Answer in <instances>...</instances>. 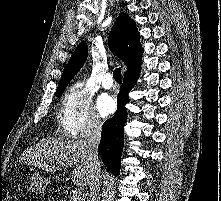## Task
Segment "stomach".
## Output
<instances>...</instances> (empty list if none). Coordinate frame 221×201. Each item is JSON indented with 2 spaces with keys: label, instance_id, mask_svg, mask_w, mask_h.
Returning <instances> with one entry per match:
<instances>
[{
  "label": "stomach",
  "instance_id": "1",
  "mask_svg": "<svg viewBox=\"0 0 221 201\" xmlns=\"http://www.w3.org/2000/svg\"><path fill=\"white\" fill-rule=\"evenodd\" d=\"M49 182L40 174H33L29 180V189L33 193L43 192Z\"/></svg>",
  "mask_w": 221,
  "mask_h": 201
}]
</instances>
